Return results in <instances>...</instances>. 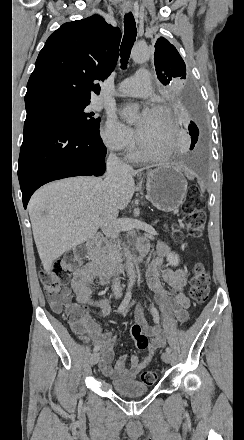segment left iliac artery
Here are the masks:
<instances>
[{"label": "left iliac artery", "mask_w": 244, "mask_h": 440, "mask_svg": "<svg viewBox=\"0 0 244 440\" xmlns=\"http://www.w3.org/2000/svg\"><path fill=\"white\" fill-rule=\"evenodd\" d=\"M151 310H152V315H153L154 322L158 323L159 322V314H158L157 309L155 307H152ZM166 352L171 353V348L170 347H166Z\"/></svg>", "instance_id": "1"}]
</instances>
